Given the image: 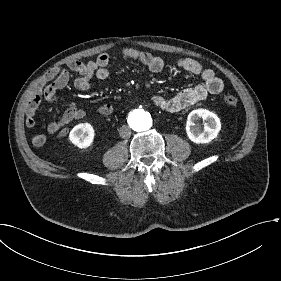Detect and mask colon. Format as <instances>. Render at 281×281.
<instances>
[{
	"label": "colon",
	"mask_w": 281,
	"mask_h": 281,
	"mask_svg": "<svg viewBox=\"0 0 281 281\" xmlns=\"http://www.w3.org/2000/svg\"><path fill=\"white\" fill-rule=\"evenodd\" d=\"M224 102L228 106H234L237 104L238 100L235 96L227 95L224 97Z\"/></svg>",
	"instance_id": "5ec220e1"
}]
</instances>
